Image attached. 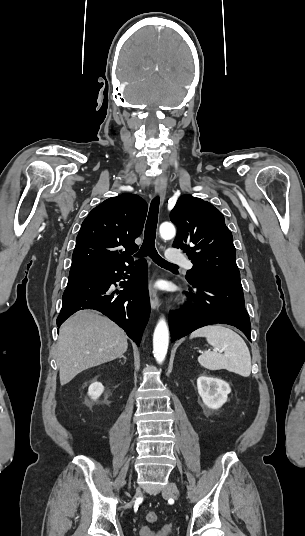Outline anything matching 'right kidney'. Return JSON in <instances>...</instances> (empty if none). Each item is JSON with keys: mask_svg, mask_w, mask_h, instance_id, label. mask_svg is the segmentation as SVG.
<instances>
[{"mask_svg": "<svg viewBox=\"0 0 305 536\" xmlns=\"http://www.w3.org/2000/svg\"><path fill=\"white\" fill-rule=\"evenodd\" d=\"M104 392V386L101 382H93L88 388V394L91 396L92 400H97L101 394Z\"/></svg>", "mask_w": 305, "mask_h": 536, "instance_id": "ca27d5eb", "label": "right kidney"}]
</instances>
